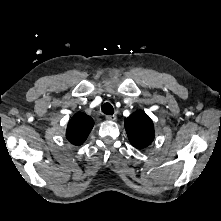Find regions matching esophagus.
<instances>
[{"mask_svg":"<svg viewBox=\"0 0 221 221\" xmlns=\"http://www.w3.org/2000/svg\"><path fill=\"white\" fill-rule=\"evenodd\" d=\"M106 119L109 121H116L117 117H116V115H107Z\"/></svg>","mask_w":221,"mask_h":221,"instance_id":"1","label":"esophagus"}]
</instances>
